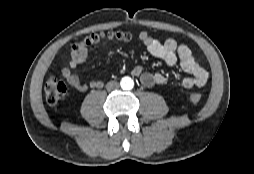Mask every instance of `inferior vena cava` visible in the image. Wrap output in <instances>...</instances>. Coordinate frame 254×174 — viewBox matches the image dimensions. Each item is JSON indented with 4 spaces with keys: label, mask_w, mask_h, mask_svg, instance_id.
<instances>
[{
    "label": "inferior vena cava",
    "mask_w": 254,
    "mask_h": 174,
    "mask_svg": "<svg viewBox=\"0 0 254 174\" xmlns=\"http://www.w3.org/2000/svg\"><path fill=\"white\" fill-rule=\"evenodd\" d=\"M119 88V83L116 81H110L106 85L108 91L117 90Z\"/></svg>",
    "instance_id": "obj_1"
}]
</instances>
